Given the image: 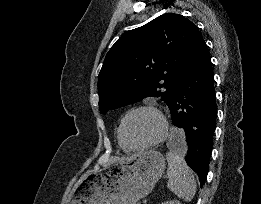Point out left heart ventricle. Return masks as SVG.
<instances>
[{
    "label": "left heart ventricle",
    "instance_id": "obj_1",
    "mask_svg": "<svg viewBox=\"0 0 261 204\" xmlns=\"http://www.w3.org/2000/svg\"><path fill=\"white\" fill-rule=\"evenodd\" d=\"M160 130L158 119L150 112H139L127 119L123 139L131 146H139L154 139Z\"/></svg>",
    "mask_w": 261,
    "mask_h": 204
}]
</instances>
